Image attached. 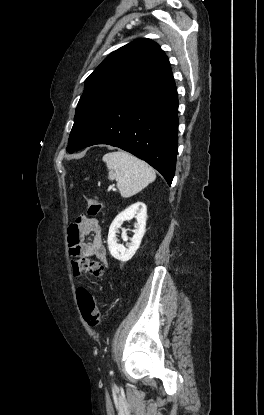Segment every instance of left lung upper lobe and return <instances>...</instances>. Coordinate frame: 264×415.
Returning <instances> with one entry per match:
<instances>
[{
  "label": "left lung upper lobe",
  "instance_id": "5c2ea615",
  "mask_svg": "<svg viewBox=\"0 0 264 415\" xmlns=\"http://www.w3.org/2000/svg\"><path fill=\"white\" fill-rule=\"evenodd\" d=\"M171 73L164 51L148 38L134 40L108 55L85 80L67 151L78 150L102 117L123 99Z\"/></svg>",
  "mask_w": 264,
  "mask_h": 415
}]
</instances>
